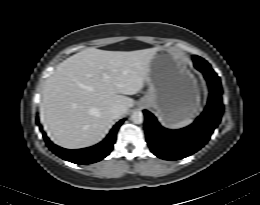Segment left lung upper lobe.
I'll return each instance as SVG.
<instances>
[{"label":"left lung upper lobe","mask_w":260,"mask_h":205,"mask_svg":"<svg viewBox=\"0 0 260 205\" xmlns=\"http://www.w3.org/2000/svg\"><path fill=\"white\" fill-rule=\"evenodd\" d=\"M193 60H194V64L196 65V66H199V65H201V66H204V67H210L211 68V66H210V64H208L204 59H202L201 57H198V56H193Z\"/></svg>","instance_id":"left-lung-upper-lobe-1"}]
</instances>
